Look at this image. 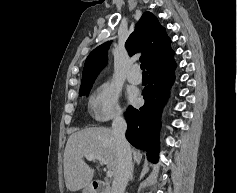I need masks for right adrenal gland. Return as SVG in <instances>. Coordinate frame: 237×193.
I'll use <instances>...</instances> for the list:
<instances>
[{"label":"right adrenal gland","mask_w":237,"mask_h":193,"mask_svg":"<svg viewBox=\"0 0 237 193\" xmlns=\"http://www.w3.org/2000/svg\"><path fill=\"white\" fill-rule=\"evenodd\" d=\"M133 172H134V165L132 166V171L129 180L131 181L133 179Z\"/></svg>","instance_id":"1"}]
</instances>
